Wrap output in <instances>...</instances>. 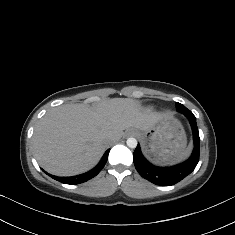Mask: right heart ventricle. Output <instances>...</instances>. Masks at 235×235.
<instances>
[{
    "label": "right heart ventricle",
    "instance_id": "1",
    "mask_svg": "<svg viewBox=\"0 0 235 235\" xmlns=\"http://www.w3.org/2000/svg\"><path fill=\"white\" fill-rule=\"evenodd\" d=\"M126 105V101H122V100H119V101H116L112 106H111V109L114 111V112H120L124 109Z\"/></svg>",
    "mask_w": 235,
    "mask_h": 235
}]
</instances>
